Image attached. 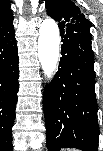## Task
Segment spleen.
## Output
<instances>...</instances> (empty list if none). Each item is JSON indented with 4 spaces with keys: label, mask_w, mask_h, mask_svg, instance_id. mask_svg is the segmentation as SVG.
Wrapping results in <instances>:
<instances>
[{
    "label": "spleen",
    "mask_w": 103,
    "mask_h": 151,
    "mask_svg": "<svg viewBox=\"0 0 103 151\" xmlns=\"http://www.w3.org/2000/svg\"><path fill=\"white\" fill-rule=\"evenodd\" d=\"M71 151H78V150L73 149V150H71Z\"/></svg>",
    "instance_id": "1"
}]
</instances>
